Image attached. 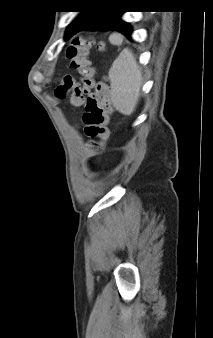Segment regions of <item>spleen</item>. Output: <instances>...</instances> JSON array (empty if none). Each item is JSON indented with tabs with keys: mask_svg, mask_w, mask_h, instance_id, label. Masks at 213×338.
<instances>
[{
	"mask_svg": "<svg viewBox=\"0 0 213 338\" xmlns=\"http://www.w3.org/2000/svg\"><path fill=\"white\" fill-rule=\"evenodd\" d=\"M113 106L124 115H131L140 98L142 71L129 48L121 51L108 73Z\"/></svg>",
	"mask_w": 213,
	"mask_h": 338,
	"instance_id": "spleen-1",
	"label": "spleen"
}]
</instances>
